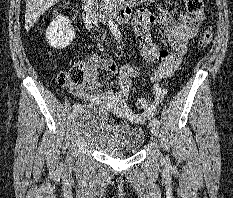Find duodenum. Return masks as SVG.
Returning <instances> with one entry per match:
<instances>
[{"mask_svg":"<svg viewBox=\"0 0 233 198\" xmlns=\"http://www.w3.org/2000/svg\"><path fill=\"white\" fill-rule=\"evenodd\" d=\"M82 9L90 22H97L102 18L108 16L116 20L118 23H126L132 17L134 3L128 1L119 5L108 13H97L92 0H83Z\"/></svg>","mask_w":233,"mask_h":198,"instance_id":"410a0bca","label":"duodenum"}]
</instances>
